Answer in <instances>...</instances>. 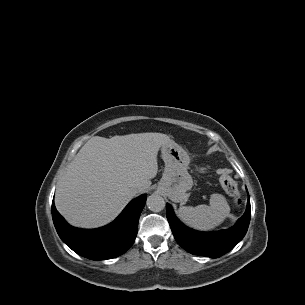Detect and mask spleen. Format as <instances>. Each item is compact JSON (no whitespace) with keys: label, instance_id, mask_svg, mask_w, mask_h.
I'll return each mask as SVG.
<instances>
[{"label":"spleen","instance_id":"3e777b00","mask_svg":"<svg viewBox=\"0 0 305 305\" xmlns=\"http://www.w3.org/2000/svg\"><path fill=\"white\" fill-rule=\"evenodd\" d=\"M230 207L221 194H212L210 205L182 206L178 209V217L188 226L207 231L220 225L228 216Z\"/></svg>","mask_w":305,"mask_h":305}]
</instances>
